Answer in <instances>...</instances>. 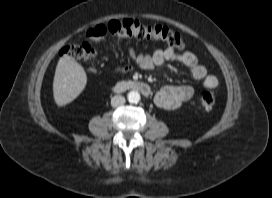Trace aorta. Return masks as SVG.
Wrapping results in <instances>:
<instances>
[{"label":"aorta","mask_w":272,"mask_h":198,"mask_svg":"<svg viewBox=\"0 0 272 198\" xmlns=\"http://www.w3.org/2000/svg\"><path fill=\"white\" fill-rule=\"evenodd\" d=\"M127 98L130 103H138L140 101V94L137 91H130Z\"/></svg>","instance_id":"aorta-1"}]
</instances>
